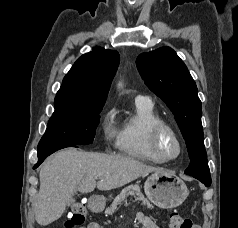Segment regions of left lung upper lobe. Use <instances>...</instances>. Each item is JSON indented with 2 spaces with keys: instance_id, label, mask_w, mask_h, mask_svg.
Here are the masks:
<instances>
[{
  "instance_id": "5c2ea615",
  "label": "left lung upper lobe",
  "mask_w": 238,
  "mask_h": 228,
  "mask_svg": "<svg viewBox=\"0 0 238 228\" xmlns=\"http://www.w3.org/2000/svg\"><path fill=\"white\" fill-rule=\"evenodd\" d=\"M136 64L146 85L175 116L190 157L185 172L210 177L201 123L202 104L186 65L170 47L142 53Z\"/></svg>"
}]
</instances>
